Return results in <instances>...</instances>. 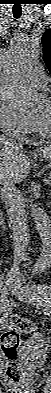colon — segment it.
I'll use <instances>...</instances> for the list:
<instances>
[{
    "label": "colon",
    "instance_id": "obj_1",
    "mask_svg": "<svg viewBox=\"0 0 51 393\" xmlns=\"http://www.w3.org/2000/svg\"><path fill=\"white\" fill-rule=\"evenodd\" d=\"M9 323L10 328L5 330L1 337L2 351L7 361L5 374L9 380L19 383L25 376L21 366L17 363L21 334L33 333L35 328L31 321L16 315L10 317Z\"/></svg>",
    "mask_w": 51,
    "mask_h": 393
}]
</instances>
